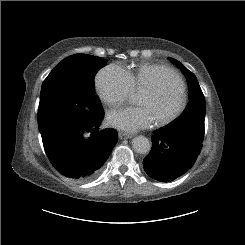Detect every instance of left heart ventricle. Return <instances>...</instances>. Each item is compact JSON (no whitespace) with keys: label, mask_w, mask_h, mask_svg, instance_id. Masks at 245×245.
<instances>
[{"label":"left heart ventricle","mask_w":245,"mask_h":245,"mask_svg":"<svg viewBox=\"0 0 245 245\" xmlns=\"http://www.w3.org/2000/svg\"><path fill=\"white\" fill-rule=\"evenodd\" d=\"M157 84L165 85L164 92L159 96H154L146 92H141L139 105L147 107L155 120L169 114L178 104L177 86L173 78L169 75H161Z\"/></svg>","instance_id":"obj_1"}]
</instances>
